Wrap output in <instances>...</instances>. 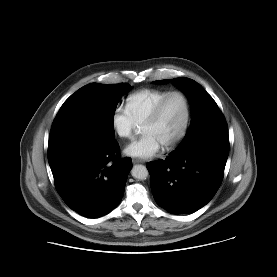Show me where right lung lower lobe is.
<instances>
[{"label": "right lung lower lobe", "mask_w": 277, "mask_h": 277, "mask_svg": "<svg viewBox=\"0 0 277 277\" xmlns=\"http://www.w3.org/2000/svg\"><path fill=\"white\" fill-rule=\"evenodd\" d=\"M118 143L88 126L54 122L48 161L56 189L69 208L96 218L122 199L132 160L121 159Z\"/></svg>", "instance_id": "1"}]
</instances>
